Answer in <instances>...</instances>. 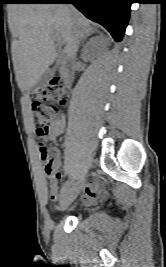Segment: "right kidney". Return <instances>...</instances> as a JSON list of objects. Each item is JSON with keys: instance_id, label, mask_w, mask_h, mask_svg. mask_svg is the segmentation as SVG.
Returning a JSON list of instances; mask_svg holds the SVG:
<instances>
[{"instance_id": "obj_1", "label": "right kidney", "mask_w": 166, "mask_h": 267, "mask_svg": "<svg viewBox=\"0 0 166 267\" xmlns=\"http://www.w3.org/2000/svg\"><path fill=\"white\" fill-rule=\"evenodd\" d=\"M102 43H106V40L103 38V36L91 40V47L88 50V54L93 56L99 45Z\"/></svg>"}]
</instances>
